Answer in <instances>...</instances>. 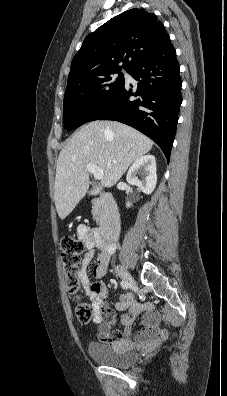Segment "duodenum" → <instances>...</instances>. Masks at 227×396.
I'll return each instance as SVG.
<instances>
[{
    "mask_svg": "<svg viewBox=\"0 0 227 396\" xmlns=\"http://www.w3.org/2000/svg\"><path fill=\"white\" fill-rule=\"evenodd\" d=\"M91 195L101 207L102 219L97 238L105 246L114 245L120 233V214L112 194L93 190Z\"/></svg>",
    "mask_w": 227,
    "mask_h": 396,
    "instance_id": "duodenum-1",
    "label": "duodenum"
}]
</instances>
